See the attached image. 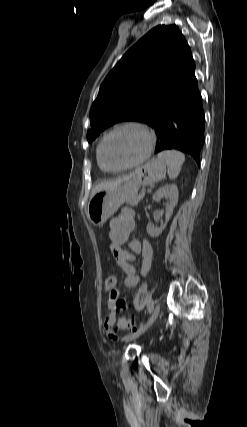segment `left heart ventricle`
I'll list each match as a JSON object with an SVG mask.
<instances>
[{"instance_id": "obj_1", "label": "left heart ventricle", "mask_w": 247, "mask_h": 427, "mask_svg": "<svg viewBox=\"0 0 247 427\" xmlns=\"http://www.w3.org/2000/svg\"><path fill=\"white\" fill-rule=\"evenodd\" d=\"M145 134L136 128H123L111 135L104 145L103 156L111 168H119L138 160L147 148Z\"/></svg>"}]
</instances>
